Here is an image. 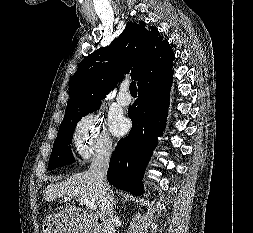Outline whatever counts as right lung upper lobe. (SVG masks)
Returning a JSON list of instances; mask_svg holds the SVG:
<instances>
[{
	"label": "right lung upper lobe",
	"mask_w": 253,
	"mask_h": 233,
	"mask_svg": "<svg viewBox=\"0 0 253 233\" xmlns=\"http://www.w3.org/2000/svg\"><path fill=\"white\" fill-rule=\"evenodd\" d=\"M175 59L167 40L155 27L128 22L109 47L85 57L69 83L70 100L64 119L97 104L114 89L124 74L138 81V88L150 78L172 68Z\"/></svg>",
	"instance_id": "1"
}]
</instances>
